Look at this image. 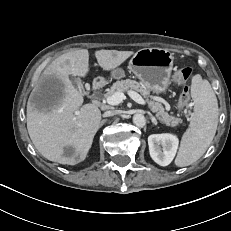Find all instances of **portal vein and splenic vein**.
Returning <instances> with one entry per match:
<instances>
[{
	"label": "portal vein and splenic vein",
	"instance_id": "obj_1",
	"mask_svg": "<svg viewBox=\"0 0 231 231\" xmlns=\"http://www.w3.org/2000/svg\"><path fill=\"white\" fill-rule=\"evenodd\" d=\"M129 96L138 104L145 105L146 101L135 91H129ZM125 99V95L121 92H116L111 96H108L105 102L109 105H118Z\"/></svg>",
	"mask_w": 231,
	"mask_h": 231
}]
</instances>
